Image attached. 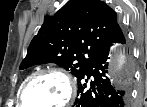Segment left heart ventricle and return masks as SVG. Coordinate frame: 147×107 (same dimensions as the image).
I'll use <instances>...</instances> for the list:
<instances>
[{
    "label": "left heart ventricle",
    "instance_id": "1",
    "mask_svg": "<svg viewBox=\"0 0 147 107\" xmlns=\"http://www.w3.org/2000/svg\"><path fill=\"white\" fill-rule=\"evenodd\" d=\"M66 95L67 87L60 77L45 75L30 85L25 101L29 107H54L61 104Z\"/></svg>",
    "mask_w": 147,
    "mask_h": 107
}]
</instances>
